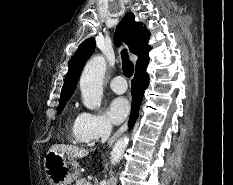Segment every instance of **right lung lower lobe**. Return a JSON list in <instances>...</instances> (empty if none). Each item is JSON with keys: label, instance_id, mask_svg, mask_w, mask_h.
<instances>
[{"label": "right lung lower lobe", "instance_id": "obj_1", "mask_svg": "<svg viewBox=\"0 0 233 185\" xmlns=\"http://www.w3.org/2000/svg\"><path fill=\"white\" fill-rule=\"evenodd\" d=\"M146 67L147 66L136 69L134 79L131 83L132 109L129 127H131L134 124L139 115V107L142 102V96L145 89L149 85V75L146 72Z\"/></svg>", "mask_w": 233, "mask_h": 185}]
</instances>
